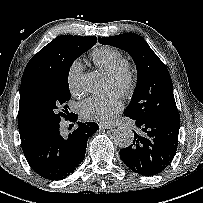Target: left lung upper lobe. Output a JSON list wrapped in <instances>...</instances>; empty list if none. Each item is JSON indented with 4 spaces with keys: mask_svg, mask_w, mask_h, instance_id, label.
Returning a JSON list of instances; mask_svg holds the SVG:
<instances>
[{
    "mask_svg": "<svg viewBox=\"0 0 203 203\" xmlns=\"http://www.w3.org/2000/svg\"><path fill=\"white\" fill-rule=\"evenodd\" d=\"M98 42L125 50L137 67V84L124 116L131 119L180 120L170 74L138 34L98 37Z\"/></svg>",
    "mask_w": 203,
    "mask_h": 203,
    "instance_id": "obj_1",
    "label": "left lung upper lobe"
}]
</instances>
